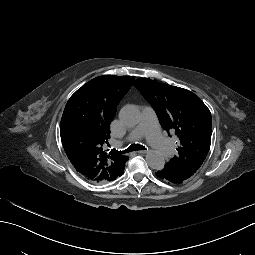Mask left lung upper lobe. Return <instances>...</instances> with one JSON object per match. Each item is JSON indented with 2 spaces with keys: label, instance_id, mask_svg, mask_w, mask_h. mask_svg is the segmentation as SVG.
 <instances>
[{
  "label": "left lung upper lobe",
  "instance_id": "obj_1",
  "mask_svg": "<svg viewBox=\"0 0 255 255\" xmlns=\"http://www.w3.org/2000/svg\"><path fill=\"white\" fill-rule=\"evenodd\" d=\"M156 111L162 127L180 140L177 156L166 163L174 178H190L202 165L211 144V113L189 90L140 78L133 84Z\"/></svg>",
  "mask_w": 255,
  "mask_h": 255
}]
</instances>
